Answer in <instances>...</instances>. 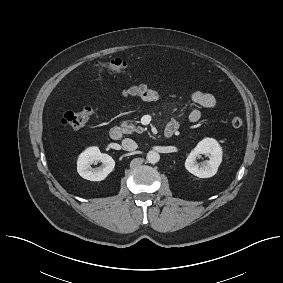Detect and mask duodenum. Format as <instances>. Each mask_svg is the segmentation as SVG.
Returning <instances> with one entry per match:
<instances>
[{"label": "duodenum", "mask_w": 283, "mask_h": 283, "mask_svg": "<svg viewBox=\"0 0 283 283\" xmlns=\"http://www.w3.org/2000/svg\"><path fill=\"white\" fill-rule=\"evenodd\" d=\"M176 130L177 127L175 125L168 124L164 130V136L166 138H171L175 134ZM109 136L114 140H118L122 136V131L117 126L111 127L109 130Z\"/></svg>", "instance_id": "1"}]
</instances>
